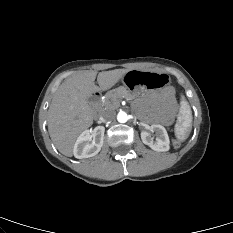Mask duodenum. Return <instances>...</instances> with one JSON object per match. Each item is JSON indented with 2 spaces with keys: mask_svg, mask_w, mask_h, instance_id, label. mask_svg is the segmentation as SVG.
<instances>
[{
  "mask_svg": "<svg viewBox=\"0 0 233 233\" xmlns=\"http://www.w3.org/2000/svg\"><path fill=\"white\" fill-rule=\"evenodd\" d=\"M100 99H101V93L98 91L94 92L90 97L91 103L94 107V112L96 114L99 112L100 109Z\"/></svg>",
  "mask_w": 233,
  "mask_h": 233,
  "instance_id": "duodenum-1",
  "label": "duodenum"
}]
</instances>
